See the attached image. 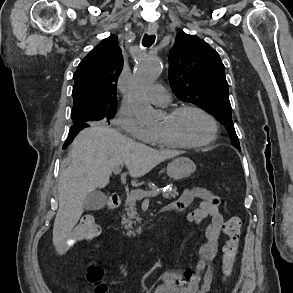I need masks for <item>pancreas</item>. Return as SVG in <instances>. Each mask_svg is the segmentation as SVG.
<instances>
[{"label": "pancreas", "mask_w": 293, "mask_h": 293, "mask_svg": "<svg viewBox=\"0 0 293 293\" xmlns=\"http://www.w3.org/2000/svg\"><path fill=\"white\" fill-rule=\"evenodd\" d=\"M137 192H148L142 189H137L134 191H131L130 195L127 196V200L125 203V211L126 214L122 216V225H124L125 229L127 230V235H135V231L133 230V225H136L137 222L140 223L141 218L138 216L137 210H136V201L138 200L135 196V193ZM163 198L165 199H172L178 196L177 188L174 187L171 190H167L162 193ZM141 229L137 228L136 232H140Z\"/></svg>", "instance_id": "obj_1"}]
</instances>
